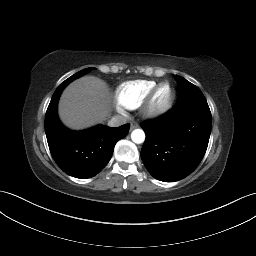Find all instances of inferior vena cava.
I'll return each mask as SVG.
<instances>
[{
    "instance_id": "602c4592",
    "label": "inferior vena cava",
    "mask_w": 256,
    "mask_h": 256,
    "mask_svg": "<svg viewBox=\"0 0 256 256\" xmlns=\"http://www.w3.org/2000/svg\"><path fill=\"white\" fill-rule=\"evenodd\" d=\"M127 119L124 116L121 115H116L113 116L109 121H108V126L110 127H118L120 125L125 124Z\"/></svg>"
}]
</instances>
